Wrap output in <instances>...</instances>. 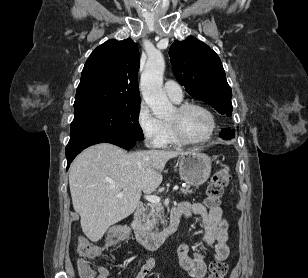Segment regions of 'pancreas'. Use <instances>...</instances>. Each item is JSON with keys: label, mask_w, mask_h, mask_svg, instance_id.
I'll use <instances>...</instances> for the list:
<instances>
[{"label": "pancreas", "mask_w": 308, "mask_h": 278, "mask_svg": "<svg viewBox=\"0 0 308 278\" xmlns=\"http://www.w3.org/2000/svg\"><path fill=\"white\" fill-rule=\"evenodd\" d=\"M181 193H191L189 186L180 189ZM159 220L164 222L163 205L159 202L151 203L146 206L145 211L141 217L142 229L144 231L152 232L158 230Z\"/></svg>", "instance_id": "pancreas-1"}]
</instances>
